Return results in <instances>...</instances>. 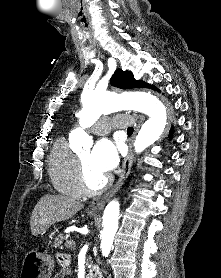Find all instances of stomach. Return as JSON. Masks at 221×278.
<instances>
[{
    "instance_id": "stomach-1",
    "label": "stomach",
    "mask_w": 221,
    "mask_h": 278,
    "mask_svg": "<svg viewBox=\"0 0 221 278\" xmlns=\"http://www.w3.org/2000/svg\"><path fill=\"white\" fill-rule=\"evenodd\" d=\"M54 268V259L38 251H29L25 264H22L20 275L22 278H50Z\"/></svg>"
}]
</instances>
